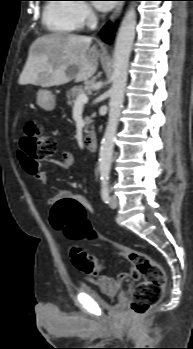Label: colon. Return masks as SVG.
I'll return each instance as SVG.
<instances>
[{
	"label": "colon",
	"mask_w": 193,
	"mask_h": 349,
	"mask_svg": "<svg viewBox=\"0 0 193 349\" xmlns=\"http://www.w3.org/2000/svg\"><path fill=\"white\" fill-rule=\"evenodd\" d=\"M56 151V139L47 133L39 122L31 120L25 125L24 135L20 141V153L29 169L35 170ZM85 216V208L80 203L64 200L53 205L50 221L56 230L64 232L69 239L95 237ZM109 247L116 255L129 260L142 277L130 302L131 312L136 316H142L162 297L166 282L164 269L143 252L117 243H109ZM70 256L75 267L85 274L97 275L102 268L98 258L78 245L71 247Z\"/></svg>",
	"instance_id": "5ec220e1"
}]
</instances>
